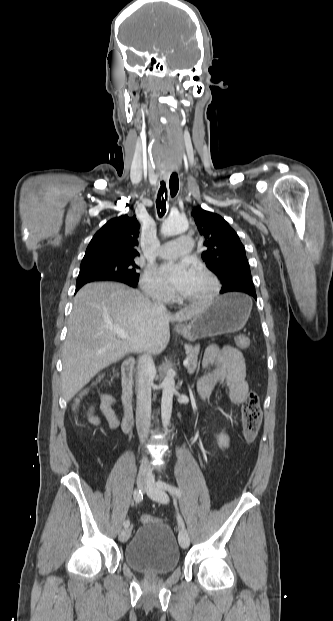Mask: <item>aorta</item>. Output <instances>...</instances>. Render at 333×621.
Instances as JSON below:
<instances>
[{
	"instance_id": "1",
	"label": "aorta",
	"mask_w": 333,
	"mask_h": 621,
	"mask_svg": "<svg viewBox=\"0 0 333 621\" xmlns=\"http://www.w3.org/2000/svg\"><path fill=\"white\" fill-rule=\"evenodd\" d=\"M187 229L188 221L185 218L179 215H169L161 226V233L164 236H173L183 233ZM174 392L175 374L169 370L162 382L161 418L164 427L170 423Z\"/></svg>"
}]
</instances>
